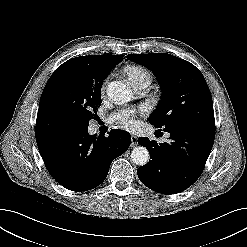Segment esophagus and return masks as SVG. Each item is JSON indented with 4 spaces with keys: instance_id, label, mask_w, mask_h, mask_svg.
<instances>
[{
    "instance_id": "34e87169",
    "label": "esophagus",
    "mask_w": 247,
    "mask_h": 247,
    "mask_svg": "<svg viewBox=\"0 0 247 247\" xmlns=\"http://www.w3.org/2000/svg\"><path fill=\"white\" fill-rule=\"evenodd\" d=\"M137 140H138L137 136L131 134V147H135L138 144Z\"/></svg>"
}]
</instances>
